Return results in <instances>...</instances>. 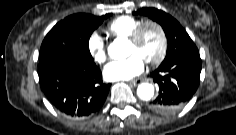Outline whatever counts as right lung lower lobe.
I'll use <instances>...</instances> for the list:
<instances>
[{
  "label": "right lung lower lobe",
  "instance_id": "98d812e1",
  "mask_svg": "<svg viewBox=\"0 0 236 135\" xmlns=\"http://www.w3.org/2000/svg\"><path fill=\"white\" fill-rule=\"evenodd\" d=\"M40 86L50 103L61 113L84 118L104 104L111 84L102 73L80 55L70 54L52 62L39 63Z\"/></svg>",
  "mask_w": 236,
  "mask_h": 135
}]
</instances>
